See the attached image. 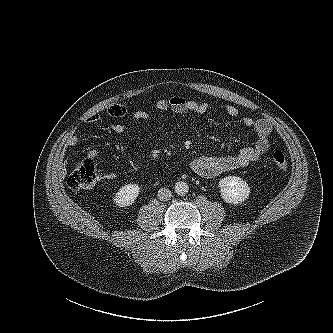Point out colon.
Returning a JSON list of instances; mask_svg holds the SVG:
<instances>
[{"mask_svg": "<svg viewBox=\"0 0 333 333\" xmlns=\"http://www.w3.org/2000/svg\"><path fill=\"white\" fill-rule=\"evenodd\" d=\"M271 159L278 170L282 172L287 171L288 163L283 152L275 151ZM98 180L99 176L95 161L91 158H86L71 172L67 183L73 190H83L94 187Z\"/></svg>", "mask_w": 333, "mask_h": 333, "instance_id": "colon-1", "label": "colon"}]
</instances>
